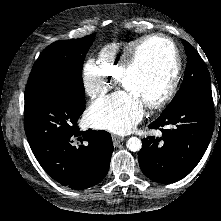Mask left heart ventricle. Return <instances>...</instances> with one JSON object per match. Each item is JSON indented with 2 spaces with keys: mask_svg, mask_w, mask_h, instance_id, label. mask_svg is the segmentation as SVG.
<instances>
[{
  "mask_svg": "<svg viewBox=\"0 0 221 221\" xmlns=\"http://www.w3.org/2000/svg\"><path fill=\"white\" fill-rule=\"evenodd\" d=\"M173 58L167 42L153 40L140 52L137 64L126 80V91L143 104L162 92L173 68Z\"/></svg>",
  "mask_w": 221,
  "mask_h": 221,
  "instance_id": "obj_1",
  "label": "left heart ventricle"
}]
</instances>
